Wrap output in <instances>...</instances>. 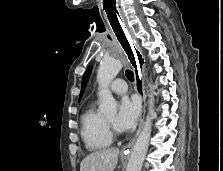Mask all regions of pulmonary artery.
Here are the masks:
<instances>
[{
  "mask_svg": "<svg viewBox=\"0 0 223 171\" xmlns=\"http://www.w3.org/2000/svg\"><path fill=\"white\" fill-rule=\"evenodd\" d=\"M110 89L115 94H123L127 91V84L123 79H116L111 83Z\"/></svg>",
  "mask_w": 223,
  "mask_h": 171,
  "instance_id": "pulmonary-artery-1",
  "label": "pulmonary artery"
}]
</instances>
